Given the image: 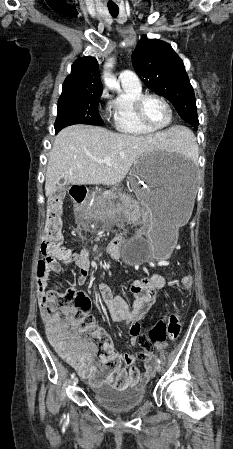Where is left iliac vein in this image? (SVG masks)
<instances>
[{
	"label": "left iliac vein",
	"instance_id": "obj_1",
	"mask_svg": "<svg viewBox=\"0 0 233 449\" xmlns=\"http://www.w3.org/2000/svg\"><path fill=\"white\" fill-rule=\"evenodd\" d=\"M155 370L157 372H161L162 371V366L159 363H157L156 366H155Z\"/></svg>",
	"mask_w": 233,
	"mask_h": 449
}]
</instances>
